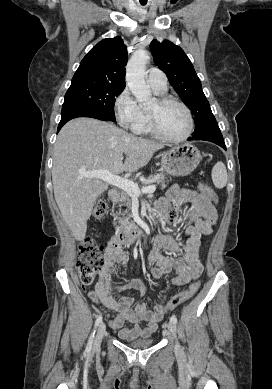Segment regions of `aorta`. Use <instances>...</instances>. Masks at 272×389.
Segmentation results:
<instances>
[{"label":"aorta","instance_id":"aorta-1","mask_svg":"<svg viewBox=\"0 0 272 389\" xmlns=\"http://www.w3.org/2000/svg\"><path fill=\"white\" fill-rule=\"evenodd\" d=\"M150 57L145 49L136 50L126 66V82L141 105H148L154 102L151 90L145 81L146 64Z\"/></svg>","mask_w":272,"mask_h":389}]
</instances>
